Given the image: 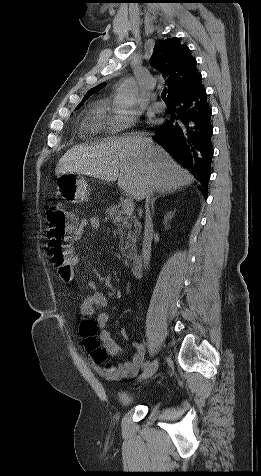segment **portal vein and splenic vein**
Returning a JSON list of instances; mask_svg holds the SVG:
<instances>
[{"label": "portal vein and splenic vein", "instance_id": "portal-vein-and-splenic-vein-1", "mask_svg": "<svg viewBox=\"0 0 261 476\" xmlns=\"http://www.w3.org/2000/svg\"><path fill=\"white\" fill-rule=\"evenodd\" d=\"M122 210L127 214H131L134 211L133 199L125 198L122 201Z\"/></svg>", "mask_w": 261, "mask_h": 476}]
</instances>
